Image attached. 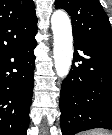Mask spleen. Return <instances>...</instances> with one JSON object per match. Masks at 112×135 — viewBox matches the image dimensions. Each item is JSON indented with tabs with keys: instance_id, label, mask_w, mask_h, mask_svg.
<instances>
[{
	"instance_id": "spleen-1",
	"label": "spleen",
	"mask_w": 112,
	"mask_h": 135,
	"mask_svg": "<svg viewBox=\"0 0 112 135\" xmlns=\"http://www.w3.org/2000/svg\"><path fill=\"white\" fill-rule=\"evenodd\" d=\"M82 135H112V133L106 131V130H91L89 132H85Z\"/></svg>"
}]
</instances>
